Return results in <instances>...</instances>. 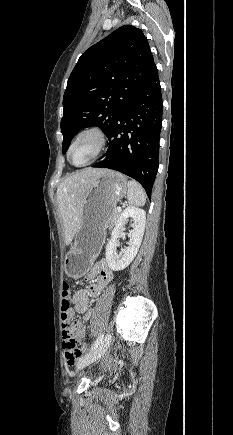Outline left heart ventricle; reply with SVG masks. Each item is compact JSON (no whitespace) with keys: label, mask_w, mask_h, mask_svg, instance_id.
<instances>
[{"label":"left heart ventricle","mask_w":233,"mask_h":435,"mask_svg":"<svg viewBox=\"0 0 233 435\" xmlns=\"http://www.w3.org/2000/svg\"><path fill=\"white\" fill-rule=\"evenodd\" d=\"M95 149V143L91 139L78 142L71 150L70 160L74 164H82L91 158Z\"/></svg>","instance_id":"1"}]
</instances>
